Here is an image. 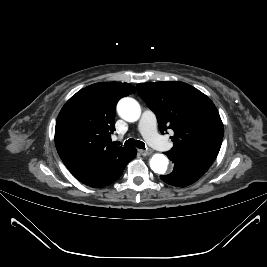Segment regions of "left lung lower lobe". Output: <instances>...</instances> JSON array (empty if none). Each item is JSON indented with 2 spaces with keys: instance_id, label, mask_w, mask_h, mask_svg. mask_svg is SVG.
Masks as SVG:
<instances>
[{
  "instance_id": "obj_1",
  "label": "left lung lower lobe",
  "mask_w": 267,
  "mask_h": 267,
  "mask_svg": "<svg viewBox=\"0 0 267 267\" xmlns=\"http://www.w3.org/2000/svg\"><path fill=\"white\" fill-rule=\"evenodd\" d=\"M174 163V169L169 175H161L160 178L167 184L185 187L197 181L209 169L210 165L186 158L176 152H165Z\"/></svg>"
}]
</instances>
